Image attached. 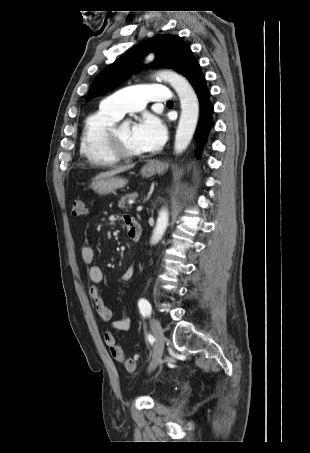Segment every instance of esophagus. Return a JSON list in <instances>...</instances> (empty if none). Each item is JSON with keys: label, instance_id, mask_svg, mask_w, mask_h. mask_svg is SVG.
Segmentation results:
<instances>
[{"label": "esophagus", "instance_id": "esophagus-1", "mask_svg": "<svg viewBox=\"0 0 310 453\" xmlns=\"http://www.w3.org/2000/svg\"><path fill=\"white\" fill-rule=\"evenodd\" d=\"M149 166H151V167H156V166H158V163H157V162H150V163H149Z\"/></svg>", "mask_w": 310, "mask_h": 453}]
</instances>
